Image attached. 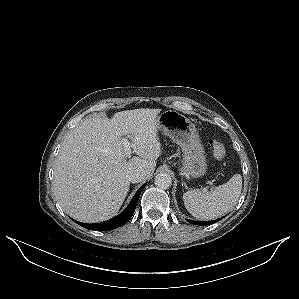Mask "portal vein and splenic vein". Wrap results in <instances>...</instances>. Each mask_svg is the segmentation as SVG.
I'll return each mask as SVG.
<instances>
[{
    "label": "portal vein and splenic vein",
    "instance_id": "obj_1",
    "mask_svg": "<svg viewBox=\"0 0 299 299\" xmlns=\"http://www.w3.org/2000/svg\"><path fill=\"white\" fill-rule=\"evenodd\" d=\"M123 146H124V150H125V155L126 158H130L131 156V147L132 145L127 141V139H123Z\"/></svg>",
    "mask_w": 299,
    "mask_h": 299
}]
</instances>
